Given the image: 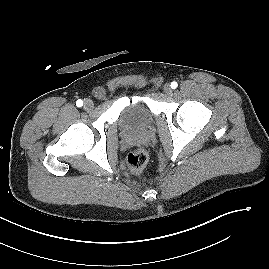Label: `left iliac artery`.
<instances>
[{
	"label": "left iliac artery",
	"instance_id": "1",
	"mask_svg": "<svg viewBox=\"0 0 269 269\" xmlns=\"http://www.w3.org/2000/svg\"><path fill=\"white\" fill-rule=\"evenodd\" d=\"M177 86H178L177 82L173 81V82L171 83V88H172V89H176Z\"/></svg>",
	"mask_w": 269,
	"mask_h": 269
}]
</instances>
